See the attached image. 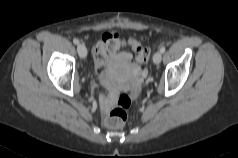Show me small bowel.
<instances>
[{
  "instance_id": "c3829d8e",
  "label": "small bowel",
  "mask_w": 238,
  "mask_h": 158,
  "mask_svg": "<svg viewBox=\"0 0 238 158\" xmlns=\"http://www.w3.org/2000/svg\"><path fill=\"white\" fill-rule=\"evenodd\" d=\"M119 40L117 34L104 33L100 40H98L93 47L94 65L97 70H105L112 67L115 63L136 70L133 63V57L129 52L120 51L116 46ZM113 103L111 95L103 96L101 98V105L105 111H108Z\"/></svg>"
}]
</instances>
